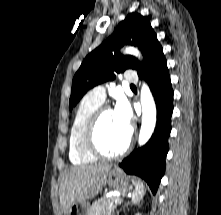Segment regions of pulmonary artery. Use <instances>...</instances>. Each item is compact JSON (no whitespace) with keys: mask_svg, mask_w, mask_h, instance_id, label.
Returning <instances> with one entry per match:
<instances>
[{"mask_svg":"<svg viewBox=\"0 0 221 215\" xmlns=\"http://www.w3.org/2000/svg\"><path fill=\"white\" fill-rule=\"evenodd\" d=\"M125 81L127 83H136L138 81V77L136 73L130 71L125 75ZM89 95L100 102H104L106 98V90L103 86H97L89 92Z\"/></svg>","mask_w":221,"mask_h":215,"instance_id":"e3ab8cb5","label":"pulmonary artery"}]
</instances>
